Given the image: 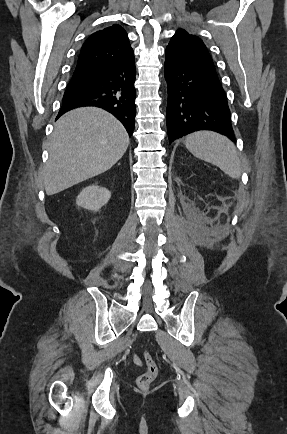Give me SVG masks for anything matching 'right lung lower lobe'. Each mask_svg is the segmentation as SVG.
<instances>
[{
	"mask_svg": "<svg viewBox=\"0 0 287 434\" xmlns=\"http://www.w3.org/2000/svg\"><path fill=\"white\" fill-rule=\"evenodd\" d=\"M135 74L134 56L119 62L76 69L67 85L58 117L77 107H100L119 119L131 136L136 115Z\"/></svg>",
	"mask_w": 287,
	"mask_h": 434,
	"instance_id": "98d812e1",
	"label": "right lung lower lobe"
}]
</instances>
